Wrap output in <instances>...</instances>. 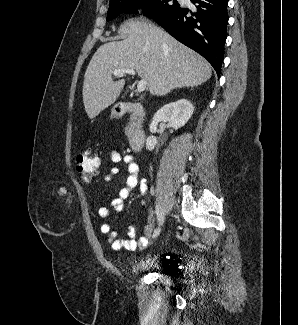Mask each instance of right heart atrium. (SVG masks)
I'll return each instance as SVG.
<instances>
[{
	"mask_svg": "<svg viewBox=\"0 0 298 325\" xmlns=\"http://www.w3.org/2000/svg\"><path fill=\"white\" fill-rule=\"evenodd\" d=\"M141 8H135L132 12H131V14L132 15H139L140 13H141Z\"/></svg>",
	"mask_w": 298,
	"mask_h": 325,
	"instance_id": "right-heart-atrium-1",
	"label": "right heart atrium"
}]
</instances>
